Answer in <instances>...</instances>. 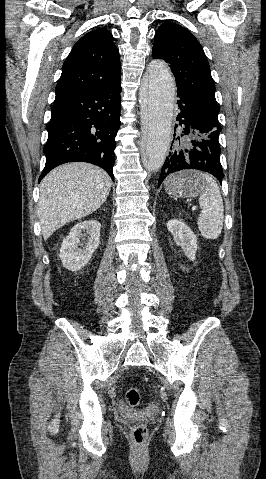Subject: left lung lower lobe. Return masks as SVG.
<instances>
[{
	"label": "left lung lower lobe",
	"mask_w": 266,
	"mask_h": 479,
	"mask_svg": "<svg viewBox=\"0 0 266 479\" xmlns=\"http://www.w3.org/2000/svg\"><path fill=\"white\" fill-rule=\"evenodd\" d=\"M177 97L180 109L177 121L181 126V134H174L170 152L161 169L158 186L169 174L184 169L208 172L222 183L224 174L218 140L220 125L184 93L177 92Z\"/></svg>",
	"instance_id": "0a47b994"
}]
</instances>
